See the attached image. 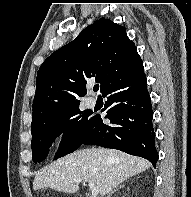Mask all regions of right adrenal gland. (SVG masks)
<instances>
[{
	"label": "right adrenal gland",
	"mask_w": 191,
	"mask_h": 197,
	"mask_svg": "<svg viewBox=\"0 0 191 197\" xmlns=\"http://www.w3.org/2000/svg\"><path fill=\"white\" fill-rule=\"evenodd\" d=\"M124 184H122V185H120V186H118L117 188H115L107 197H111V195L113 194V193H115L117 190H119L120 188H124Z\"/></svg>",
	"instance_id": "obj_1"
}]
</instances>
